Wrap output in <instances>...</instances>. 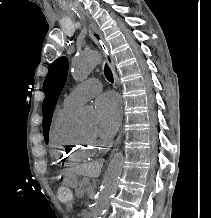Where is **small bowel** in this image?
Returning <instances> with one entry per match:
<instances>
[{
	"instance_id": "small-bowel-1",
	"label": "small bowel",
	"mask_w": 211,
	"mask_h": 218,
	"mask_svg": "<svg viewBox=\"0 0 211 218\" xmlns=\"http://www.w3.org/2000/svg\"><path fill=\"white\" fill-rule=\"evenodd\" d=\"M72 208H73V204H72L71 202L68 203V204H67V209L70 210V209H72Z\"/></svg>"
}]
</instances>
